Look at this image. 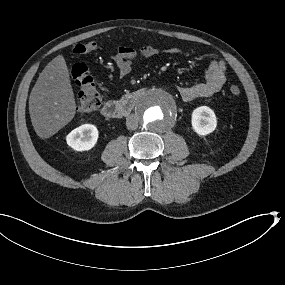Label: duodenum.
<instances>
[{"label":"duodenum","instance_id":"duodenum-1","mask_svg":"<svg viewBox=\"0 0 285 285\" xmlns=\"http://www.w3.org/2000/svg\"><path fill=\"white\" fill-rule=\"evenodd\" d=\"M141 95L142 90H137L124 95L119 100L107 101L103 105L101 113L108 119H121L127 117L133 111L134 106Z\"/></svg>","mask_w":285,"mask_h":285}]
</instances>
